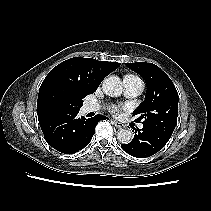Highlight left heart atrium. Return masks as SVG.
Instances as JSON below:
<instances>
[{
    "instance_id": "obj_1",
    "label": "left heart atrium",
    "mask_w": 211,
    "mask_h": 211,
    "mask_svg": "<svg viewBox=\"0 0 211 211\" xmlns=\"http://www.w3.org/2000/svg\"><path fill=\"white\" fill-rule=\"evenodd\" d=\"M110 111L112 112V113H118V111H119V107L117 106V105H111L110 106Z\"/></svg>"
}]
</instances>
